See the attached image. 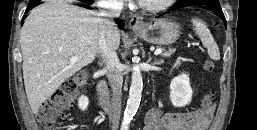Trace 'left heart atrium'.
<instances>
[{
    "instance_id": "39dd6f15",
    "label": "left heart atrium",
    "mask_w": 257,
    "mask_h": 130,
    "mask_svg": "<svg viewBox=\"0 0 257 130\" xmlns=\"http://www.w3.org/2000/svg\"><path fill=\"white\" fill-rule=\"evenodd\" d=\"M137 1H139V3H140V2H142L143 0H137Z\"/></svg>"
}]
</instances>
